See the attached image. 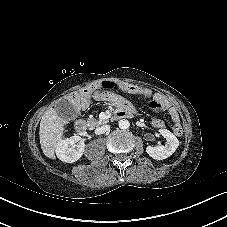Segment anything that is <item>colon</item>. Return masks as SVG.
Here are the masks:
<instances>
[{"label":"colon","instance_id":"colon-1","mask_svg":"<svg viewBox=\"0 0 227 227\" xmlns=\"http://www.w3.org/2000/svg\"><path fill=\"white\" fill-rule=\"evenodd\" d=\"M103 87L111 89V88H116V85L114 83H111V82H104ZM124 89L126 91H133V87L131 85H125ZM163 103L164 102L162 101V99L158 95H155L153 101L150 104V107L151 108H160ZM173 132L177 136L181 134L182 130H181V126H180L179 123L174 124Z\"/></svg>","mask_w":227,"mask_h":227}]
</instances>
